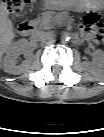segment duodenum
Returning a JSON list of instances; mask_svg holds the SVG:
<instances>
[{"label": "duodenum", "mask_w": 104, "mask_h": 137, "mask_svg": "<svg viewBox=\"0 0 104 137\" xmlns=\"http://www.w3.org/2000/svg\"><path fill=\"white\" fill-rule=\"evenodd\" d=\"M35 29V24L30 21H24L19 25V32L23 36H29L30 34L33 33Z\"/></svg>", "instance_id": "obj_1"}]
</instances>
